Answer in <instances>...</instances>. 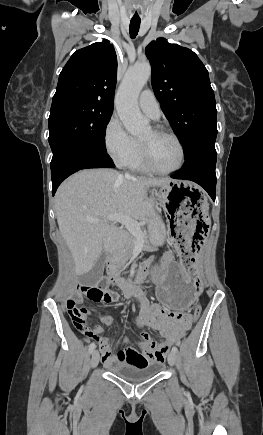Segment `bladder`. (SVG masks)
I'll return each instance as SVG.
<instances>
[{
  "label": "bladder",
  "mask_w": 263,
  "mask_h": 435,
  "mask_svg": "<svg viewBox=\"0 0 263 435\" xmlns=\"http://www.w3.org/2000/svg\"><path fill=\"white\" fill-rule=\"evenodd\" d=\"M162 368V362L153 361L142 366L114 365L110 371L124 380L144 381L158 375Z\"/></svg>",
  "instance_id": "31cf9c89"
}]
</instances>
